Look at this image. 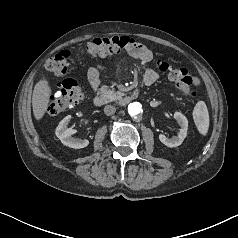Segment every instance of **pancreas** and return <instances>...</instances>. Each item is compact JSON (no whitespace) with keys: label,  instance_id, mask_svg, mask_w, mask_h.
Segmentation results:
<instances>
[{"label":"pancreas","instance_id":"1","mask_svg":"<svg viewBox=\"0 0 238 238\" xmlns=\"http://www.w3.org/2000/svg\"><path fill=\"white\" fill-rule=\"evenodd\" d=\"M99 90H100V93L104 97H106L109 101L120 100L122 98V96L124 95L122 92L116 91L114 88H109L106 85L101 86V88ZM171 96H173V95L171 94ZM176 100L180 101L181 98H176Z\"/></svg>","mask_w":238,"mask_h":238}]
</instances>
